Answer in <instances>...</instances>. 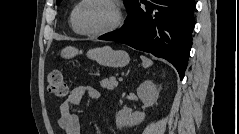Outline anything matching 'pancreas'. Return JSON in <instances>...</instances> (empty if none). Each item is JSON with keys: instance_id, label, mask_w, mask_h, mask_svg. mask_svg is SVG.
I'll return each mask as SVG.
<instances>
[{"instance_id": "obj_1", "label": "pancreas", "mask_w": 239, "mask_h": 134, "mask_svg": "<svg viewBox=\"0 0 239 134\" xmlns=\"http://www.w3.org/2000/svg\"><path fill=\"white\" fill-rule=\"evenodd\" d=\"M102 88L107 90H113L115 87L118 86V82L115 77H110L109 79H104L100 82Z\"/></svg>"}]
</instances>
